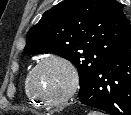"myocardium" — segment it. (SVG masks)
<instances>
[{"instance_id":"obj_1","label":"myocardium","mask_w":131,"mask_h":115,"mask_svg":"<svg viewBox=\"0 0 131 115\" xmlns=\"http://www.w3.org/2000/svg\"><path fill=\"white\" fill-rule=\"evenodd\" d=\"M48 63H59L63 65L68 70L70 75V83L68 88L64 91L62 95H60L57 98H45L39 95L37 92H35L33 87V78L35 73L38 71L39 68H41L42 66ZM79 81H80V77H79L78 70L76 66L68 58L60 55H50L41 59L30 70V72L27 75V88L31 96L34 97L42 105L49 106V107H56L65 103L75 94V92L79 87Z\"/></svg>"}]
</instances>
